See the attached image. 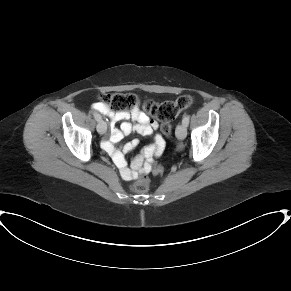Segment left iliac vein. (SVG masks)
Listing matches in <instances>:
<instances>
[{
    "label": "left iliac vein",
    "mask_w": 291,
    "mask_h": 291,
    "mask_svg": "<svg viewBox=\"0 0 291 291\" xmlns=\"http://www.w3.org/2000/svg\"><path fill=\"white\" fill-rule=\"evenodd\" d=\"M187 135L186 126L183 124H179L176 128V137L180 140L185 139Z\"/></svg>",
    "instance_id": "left-iliac-vein-1"
}]
</instances>
